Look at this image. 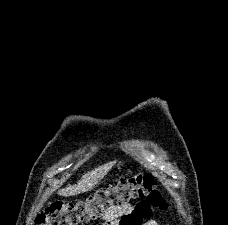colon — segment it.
Masks as SVG:
<instances>
[{"instance_id":"1","label":"colon","mask_w":228,"mask_h":225,"mask_svg":"<svg viewBox=\"0 0 228 225\" xmlns=\"http://www.w3.org/2000/svg\"><path fill=\"white\" fill-rule=\"evenodd\" d=\"M145 200L164 207L165 199L154 185L150 174L122 178L101 187L85 200L52 202L37 217V225H86L103 217L105 211H116L135 200Z\"/></svg>"}]
</instances>
